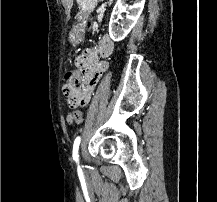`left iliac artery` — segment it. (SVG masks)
<instances>
[{"mask_svg":"<svg viewBox=\"0 0 217 202\" xmlns=\"http://www.w3.org/2000/svg\"><path fill=\"white\" fill-rule=\"evenodd\" d=\"M80 137H76L75 141H74V144H73V154H72V157H73V160L75 162H79V155H78V150H79V145H80Z\"/></svg>","mask_w":217,"mask_h":202,"instance_id":"obj_1","label":"left iliac artery"}]
</instances>
